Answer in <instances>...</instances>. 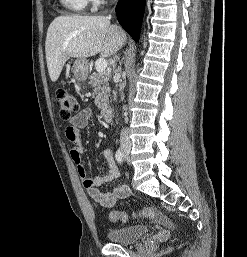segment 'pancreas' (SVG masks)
<instances>
[{
  "mask_svg": "<svg viewBox=\"0 0 247 257\" xmlns=\"http://www.w3.org/2000/svg\"><path fill=\"white\" fill-rule=\"evenodd\" d=\"M109 79L110 74L107 72H94L89 76V85L94 89L95 105L99 109L107 107L110 94Z\"/></svg>",
  "mask_w": 247,
  "mask_h": 257,
  "instance_id": "cf45deb5",
  "label": "pancreas"
}]
</instances>
